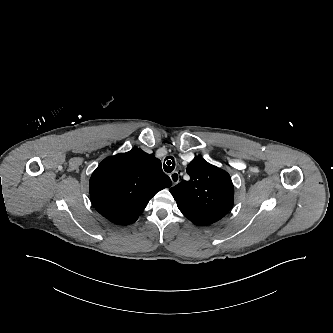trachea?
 I'll use <instances>...</instances> for the list:
<instances>
[{
  "label": "trachea",
  "instance_id": "obj_1",
  "mask_svg": "<svg viewBox=\"0 0 333 333\" xmlns=\"http://www.w3.org/2000/svg\"><path fill=\"white\" fill-rule=\"evenodd\" d=\"M175 160L172 156H167L163 163L165 172L170 173L175 169Z\"/></svg>",
  "mask_w": 333,
  "mask_h": 333
}]
</instances>
